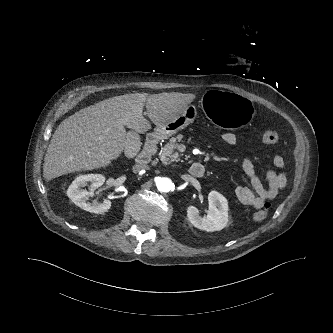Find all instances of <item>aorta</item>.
I'll list each match as a JSON object with an SVG mask.
<instances>
[{
  "label": "aorta",
  "instance_id": "aorta-1",
  "mask_svg": "<svg viewBox=\"0 0 333 333\" xmlns=\"http://www.w3.org/2000/svg\"><path fill=\"white\" fill-rule=\"evenodd\" d=\"M156 186L160 192H169L173 188V183L167 177H160L156 180Z\"/></svg>",
  "mask_w": 333,
  "mask_h": 333
}]
</instances>
